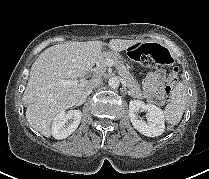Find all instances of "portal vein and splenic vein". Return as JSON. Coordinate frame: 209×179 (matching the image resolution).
I'll use <instances>...</instances> for the list:
<instances>
[{"label":"portal vein and splenic vein","mask_w":209,"mask_h":179,"mask_svg":"<svg viewBox=\"0 0 209 179\" xmlns=\"http://www.w3.org/2000/svg\"><path fill=\"white\" fill-rule=\"evenodd\" d=\"M107 65L108 66H112L113 65V62H112V60H108V62H107ZM77 83H78V81L77 80H61L60 82H59V84L60 85H62V86H74V85H77Z\"/></svg>","instance_id":"18ae733b"}]
</instances>
